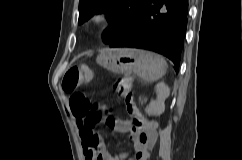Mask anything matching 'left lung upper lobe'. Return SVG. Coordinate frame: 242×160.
I'll return each instance as SVG.
<instances>
[{"mask_svg":"<svg viewBox=\"0 0 242 160\" xmlns=\"http://www.w3.org/2000/svg\"><path fill=\"white\" fill-rule=\"evenodd\" d=\"M149 0H80L79 24L94 14L106 13L109 27L103 33V41L110 44L123 36L135 23Z\"/></svg>","mask_w":242,"mask_h":160,"instance_id":"1","label":"left lung upper lobe"}]
</instances>
